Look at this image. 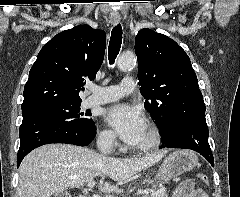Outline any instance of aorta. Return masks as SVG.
<instances>
[{"mask_svg": "<svg viewBox=\"0 0 240 197\" xmlns=\"http://www.w3.org/2000/svg\"><path fill=\"white\" fill-rule=\"evenodd\" d=\"M136 64V58L133 54H122L117 61V66L122 71L133 68Z\"/></svg>", "mask_w": 240, "mask_h": 197, "instance_id": "obj_1", "label": "aorta"}]
</instances>
